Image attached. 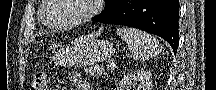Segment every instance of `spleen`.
<instances>
[{
    "mask_svg": "<svg viewBox=\"0 0 216 90\" xmlns=\"http://www.w3.org/2000/svg\"><path fill=\"white\" fill-rule=\"evenodd\" d=\"M116 34L128 44L131 58L137 62L149 60L152 56H157L161 50L157 38L147 32H141L135 28H117Z\"/></svg>",
    "mask_w": 216,
    "mask_h": 90,
    "instance_id": "obj_1",
    "label": "spleen"
}]
</instances>
